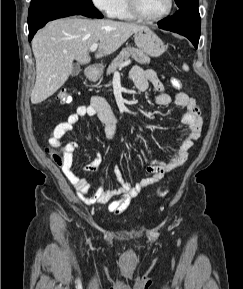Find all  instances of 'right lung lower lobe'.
Listing matches in <instances>:
<instances>
[{"instance_id": "1", "label": "right lung lower lobe", "mask_w": 243, "mask_h": 289, "mask_svg": "<svg viewBox=\"0 0 243 289\" xmlns=\"http://www.w3.org/2000/svg\"><path fill=\"white\" fill-rule=\"evenodd\" d=\"M71 15L103 17L93 4L72 0H32L28 14L29 41L32 40L36 31L47 22Z\"/></svg>"}]
</instances>
